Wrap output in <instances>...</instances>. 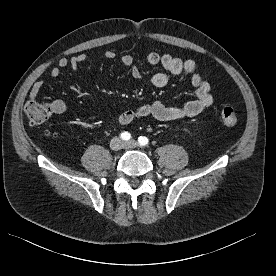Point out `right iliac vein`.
Masks as SVG:
<instances>
[{
  "label": "right iliac vein",
  "mask_w": 276,
  "mask_h": 276,
  "mask_svg": "<svg viewBox=\"0 0 276 276\" xmlns=\"http://www.w3.org/2000/svg\"><path fill=\"white\" fill-rule=\"evenodd\" d=\"M124 143L119 137H114L110 142V148L114 151H119L123 148Z\"/></svg>",
  "instance_id": "1"
}]
</instances>
